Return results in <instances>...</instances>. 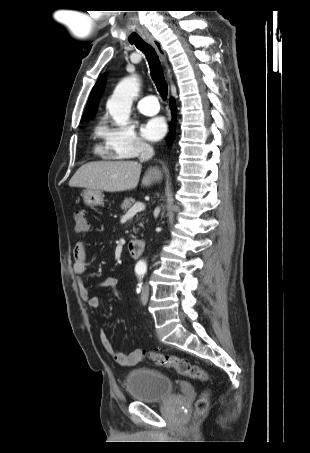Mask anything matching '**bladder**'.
I'll return each instance as SVG.
<instances>
[{
    "label": "bladder",
    "instance_id": "bladder-1",
    "mask_svg": "<svg viewBox=\"0 0 310 453\" xmlns=\"http://www.w3.org/2000/svg\"><path fill=\"white\" fill-rule=\"evenodd\" d=\"M125 388L134 401L160 402L173 394L171 379L156 370L138 368L126 376Z\"/></svg>",
    "mask_w": 310,
    "mask_h": 453
}]
</instances>
